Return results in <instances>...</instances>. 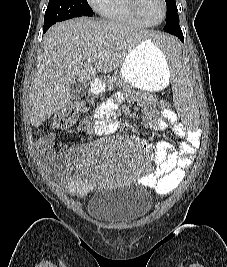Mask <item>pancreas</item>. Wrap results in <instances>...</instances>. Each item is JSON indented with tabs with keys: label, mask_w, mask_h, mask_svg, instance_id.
<instances>
[{
	"label": "pancreas",
	"mask_w": 227,
	"mask_h": 267,
	"mask_svg": "<svg viewBox=\"0 0 227 267\" xmlns=\"http://www.w3.org/2000/svg\"><path fill=\"white\" fill-rule=\"evenodd\" d=\"M113 83L123 84V80L120 77L114 76L108 80L109 85H113Z\"/></svg>",
	"instance_id": "1"
}]
</instances>
